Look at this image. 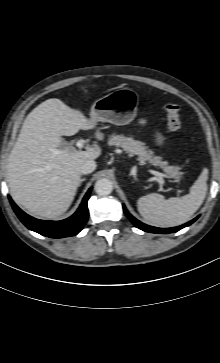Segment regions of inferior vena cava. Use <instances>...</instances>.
Segmentation results:
<instances>
[{
    "label": "inferior vena cava",
    "instance_id": "inferior-vena-cava-1",
    "mask_svg": "<svg viewBox=\"0 0 220 363\" xmlns=\"http://www.w3.org/2000/svg\"><path fill=\"white\" fill-rule=\"evenodd\" d=\"M96 169V163L93 160H86L81 163L79 170L81 174L92 173Z\"/></svg>",
    "mask_w": 220,
    "mask_h": 363
}]
</instances>
